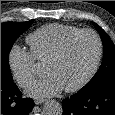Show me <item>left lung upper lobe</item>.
Wrapping results in <instances>:
<instances>
[{
    "label": "left lung upper lobe",
    "instance_id": "1",
    "mask_svg": "<svg viewBox=\"0 0 115 115\" xmlns=\"http://www.w3.org/2000/svg\"><path fill=\"white\" fill-rule=\"evenodd\" d=\"M103 42V60L94 77L77 93L87 92L105 85H115V45L106 32L94 23Z\"/></svg>",
    "mask_w": 115,
    "mask_h": 115
}]
</instances>
